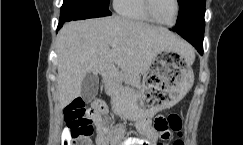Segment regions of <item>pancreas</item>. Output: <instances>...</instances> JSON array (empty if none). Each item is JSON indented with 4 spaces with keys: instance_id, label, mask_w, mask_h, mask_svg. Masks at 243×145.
<instances>
[{
    "instance_id": "pancreas-1",
    "label": "pancreas",
    "mask_w": 243,
    "mask_h": 145,
    "mask_svg": "<svg viewBox=\"0 0 243 145\" xmlns=\"http://www.w3.org/2000/svg\"><path fill=\"white\" fill-rule=\"evenodd\" d=\"M118 79H123V75L122 74H119L118 75Z\"/></svg>"
}]
</instances>
